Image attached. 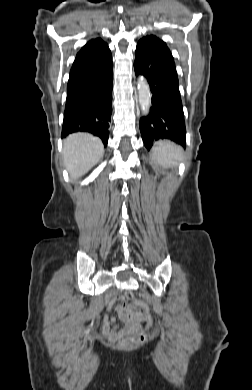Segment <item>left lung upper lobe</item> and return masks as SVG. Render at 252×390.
Returning <instances> with one entry per match:
<instances>
[{"instance_id": "1", "label": "left lung upper lobe", "mask_w": 252, "mask_h": 390, "mask_svg": "<svg viewBox=\"0 0 252 390\" xmlns=\"http://www.w3.org/2000/svg\"><path fill=\"white\" fill-rule=\"evenodd\" d=\"M140 41H147L149 43L155 44L159 49L167 53L170 57H172V54L167 47L166 43L161 41L159 38H157L154 35L143 37ZM173 58V57H172Z\"/></svg>"}]
</instances>
